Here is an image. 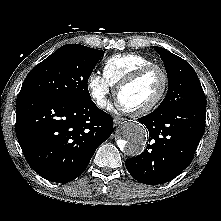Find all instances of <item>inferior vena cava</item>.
<instances>
[{
	"mask_svg": "<svg viewBox=\"0 0 221 221\" xmlns=\"http://www.w3.org/2000/svg\"><path fill=\"white\" fill-rule=\"evenodd\" d=\"M98 104H99L100 107L104 108V107H106L107 102H106L105 99H102Z\"/></svg>",
	"mask_w": 221,
	"mask_h": 221,
	"instance_id": "602c4592",
	"label": "inferior vena cava"
}]
</instances>
